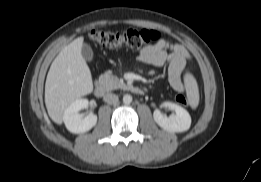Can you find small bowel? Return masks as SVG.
<instances>
[{
	"label": "small bowel",
	"instance_id": "small-bowel-1",
	"mask_svg": "<svg viewBox=\"0 0 261 182\" xmlns=\"http://www.w3.org/2000/svg\"><path fill=\"white\" fill-rule=\"evenodd\" d=\"M138 60L152 66L167 64L170 85L174 90L184 92L182 77L191 70V65L189 54L182 45L161 39L140 50Z\"/></svg>",
	"mask_w": 261,
	"mask_h": 182
}]
</instances>
